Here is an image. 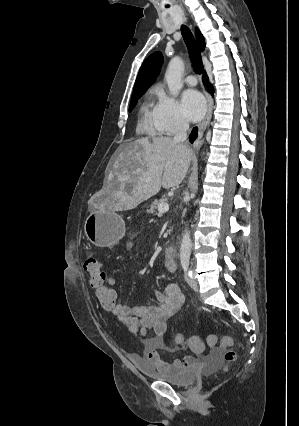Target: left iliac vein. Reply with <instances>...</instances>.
I'll use <instances>...</instances> for the list:
<instances>
[{
	"instance_id": "obj_1",
	"label": "left iliac vein",
	"mask_w": 299,
	"mask_h": 426,
	"mask_svg": "<svg viewBox=\"0 0 299 426\" xmlns=\"http://www.w3.org/2000/svg\"><path fill=\"white\" fill-rule=\"evenodd\" d=\"M186 282L188 283V285L193 288V289H197L198 288V283L197 281L192 277V276H186L185 277Z\"/></svg>"
}]
</instances>
